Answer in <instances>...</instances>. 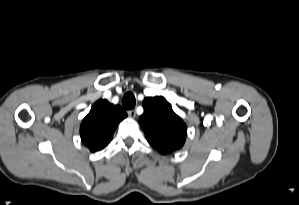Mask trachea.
<instances>
[{"label": "trachea", "mask_w": 299, "mask_h": 205, "mask_svg": "<svg viewBox=\"0 0 299 205\" xmlns=\"http://www.w3.org/2000/svg\"><path fill=\"white\" fill-rule=\"evenodd\" d=\"M136 99L132 92H127L123 96L122 105L125 109L130 110L135 107Z\"/></svg>", "instance_id": "trachea-1"}]
</instances>
